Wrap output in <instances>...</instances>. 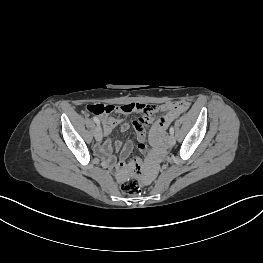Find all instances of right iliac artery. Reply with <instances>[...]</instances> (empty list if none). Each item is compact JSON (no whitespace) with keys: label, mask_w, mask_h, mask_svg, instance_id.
<instances>
[{"label":"right iliac artery","mask_w":263,"mask_h":263,"mask_svg":"<svg viewBox=\"0 0 263 263\" xmlns=\"http://www.w3.org/2000/svg\"><path fill=\"white\" fill-rule=\"evenodd\" d=\"M93 120L97 125H100V121L97 117H93Z\"/></svg>","instance_id":"1"}]
</instances>
